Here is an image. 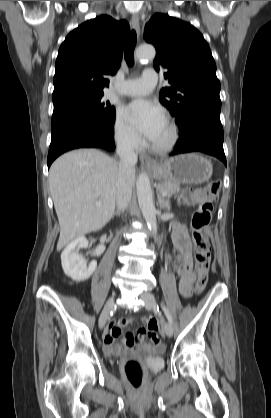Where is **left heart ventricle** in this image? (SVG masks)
Here are the masks:
<instances>
[{
    "instance_id": "1",
    "label": "left heart ventricle",
    "mask_w": 271,
    "mask_h": 418,
    "mask_svg": "<svg viewBox=\"0 0 271 418\" xmlns=\"http://www.w3.org/2000/svg\"><path fill=\"white\" fill-rule=\"evenodd\" d=\"M169 136L170 129L167 123H165L157 137L153 140V142L156 144H164L169 139Z\"/></svg>"
}]
</instances>
